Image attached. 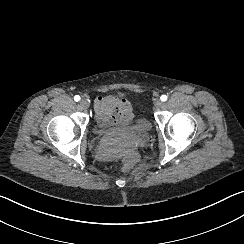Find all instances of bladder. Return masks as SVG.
Masks as SVG:
<instances>
[{"mask_svg": "<svg viewBox=\"0 0 244 244\" xmlns=\"http://www.w3.org/2000/svg\"><path fill=\"white\" fill-rule=\"evenodd\" d=\"M127 133H135L140 137L146 136L151 131L149 119L142 117L139 118L129 129L124 130Z\"/></svg>", "mask_w": 244, "mask_h": 244, "instance_id": "bladder-1", "label": "bladder"}]
</instances>
